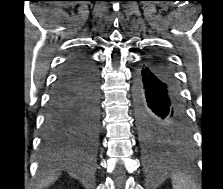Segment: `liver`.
Segmentation results:
<instances>
[{
	"mask_svg": "<svg viewBox=\"0 0 223 189\" xmlns=\"http://www.w3.org/2000/svg\"><path fill=\"white\" fill-rule=\"evenodd\" d=\"M56 179H57V176L55 174L49 175L46 178L41 180L39 187L40 188L47 187L51 183L55 182Z\"/></svg>",
	"mask_w": 223,
	"mask_h": 189,
	"instance_id": "6515ba94",
	"label": "liver"
}]
</instances>
